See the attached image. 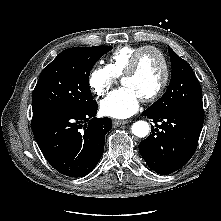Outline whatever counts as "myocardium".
<instances>
[{"label":"myocardium","mask_w":221,"mask_h":221,"mask_svg":"<svg viewBox=\"0 0 221 221\" xmlns=\"http://www.w3.org/2000/svg\"><path fill=\"white\" fill-rule=\"evenodd\" d=\"M151 51L156 52L162 60L163 77H162L161 82L159 83L158 87L155 89V91L152 92L150 95L141 99L143 102H151V101L157 99L163 93V91L165 90V88L168 84L170 70H169L168 60H167V57L164 54V52L155 46H145V47L141 48L140 50H138L134 54L128 67L126 68L124 73L121 75V81L126 77L132 76L137 71L138 64H139V61H140L142 55L146 52H151Z\"/></svg>","instance_id":"obj_1"}]
</instances>
